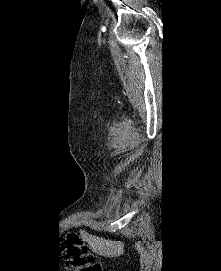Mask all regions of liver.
<instances>
[{"label":"liver","instance_id":"obj_1","mask_svg":"<svg viewBox=\"0 0 221 271\" xmlns=\"http://www.w3.org/2000/svg\"><path fill=\"white\" fill-rule=\"evenodd\" d=\"M85 241H88V245L92 251L99 253V255H106V257H116V255H122L124 251V243L122 241H111V239H105V237H97V235H91V233H83Z\"/></svg>","mask_w":221,"mask_h":271}]
</instances>
